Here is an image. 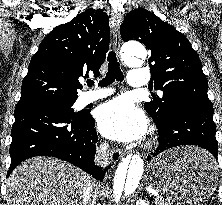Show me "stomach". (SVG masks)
Returning <instances> with one entry per match:
<instances>
[{
    "label": "stomach",
    "mask_w": 222,
    "mask_h": 205,
    "mask_svg": "<svg viewBox=\"0 0 222 205\" xmlns=\"http://www.w3.org/2000/svg\"><path fill=\"white\" fill-rule=\"evenodd\" d=\"M208 158L196 147L166 151L149 163L148 185L176 205H201L212 195L218 178Z\"/></svg>",
    "instance_id": "1"
}]
</instances>
